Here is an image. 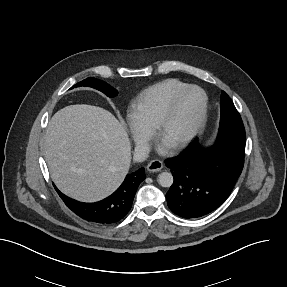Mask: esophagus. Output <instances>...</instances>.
<instances>
[{"instance_id": "1", "label": "esophagus", "mask_w": 287, "mask_h": 287, "mask_svg": "<svg viewBox=\"0 0 287 287\" xmlns=\"http://www.w3.org/2000/svg\"><path fill=\"white\" fill-rule=\"evenodd\" d=\"M163 168V162L155 159L152 160L148 165H147V170L149 172H158Z\"/></svg>"}]
</instances>
